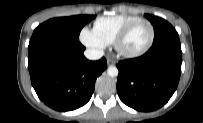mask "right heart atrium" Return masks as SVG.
<instances>
[{
  "instance_id": "right-heart-atrium-1",
  "label": "right heart atrium",
  "mask_w": 203,
  "mask_h": 123,
  "mask_svg": "<svg viewBox=\"0 0 203 123\" xmlns=\"http://www.w3.org/2000/svg\"><path fill=\"white\" fill-rule=\"evenodd\" d=\"M80 40L87 47L96 50H101L105 47V44L98 39L93 30H90L86 27L83 28L80 32Z\"/></svg>"
}]
</instances>
